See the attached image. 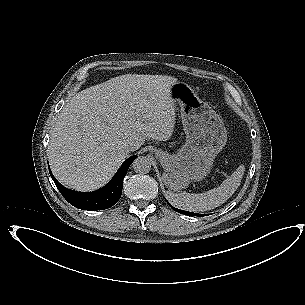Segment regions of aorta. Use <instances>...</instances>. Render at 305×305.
<instances>
[{"label": "aorta", "instance_id": "762f6f07", "mask_svg": "<svg viewBox=\"0 0 305 305\" xmlns=\"http://www.w3.org/2000/svg\"><path fill=\"white\" fill-rule=\"evenodd\" d=\"M132 168L139 174L149 173L151 170V161L146 156H139L133 161Z\"/></svg>", "mask_w": 305, "mask_h": 305}]
</instances>
